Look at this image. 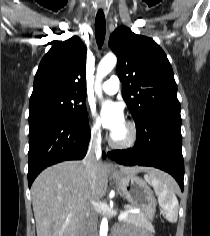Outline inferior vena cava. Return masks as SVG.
Returning <instances> with one entry per match:
<instances>
[{
  "label": "inferior vena cava",
  "instance_id": "obj_1",
  "mask_svg": "<svg viewBox=\"0 0 210 236\" xmlns=\"http://www.w3.org/2000/svg\"><path fill=\"white\" fill-rule=\"evenodd\" d=\"M100 151V141L95 138L90 141L87 154L83 160V164L88 169L91 179H95V168L99 160ZM94 186V182H92ZM97 222L98 216L96 213V201L92 200L91 205L86 211V229L85 236H97Z\"/></svg>",
  "mask_w": 210,
  "mask_h": 236
}]
</instances>
